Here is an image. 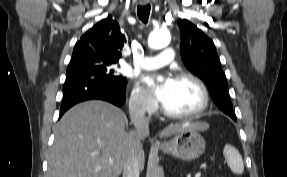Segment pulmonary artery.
Segmentation results:
<instances>
[{
    "label": "pulmonary artery",
    "mask_w": 287,
    "mask_h": 177,
    "mask_svg": "<svg viewBox=\"0 0 287 177\" xmlns=\"http://www.w3.org/2000/svg\"><path fill=\"white\" fill-rule=\"evenodd\" d=\"M174 59V49L166 47L162 52L155 56H146L141 63L143 69H156L166 66Z\"/></svg>",
    "instance_id": "obj_1"
}]
</instances>
